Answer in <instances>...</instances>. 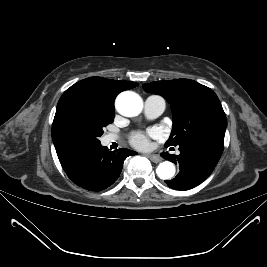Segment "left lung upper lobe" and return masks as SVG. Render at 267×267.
I'll list each match as a JSON object with an SVG mask.
<instances>
[{"label": "left lung upper lobe", "mask_w": 267, "mask_h": 267, "mask_svg": "<svg viewBox=\"0 0 267 267\" xmlns=\"http://www.w3.org/2000/svg\"><path fill=\"white\" fill-rule=\"evenodd\" d=\"M143 89L163 96L171 105L173 129L166 147L199 141L224 143L227 120L213 90L189 79L151 82L143 84Z\"/></svg>", "instance_id": "left-lung-upper-lobe-1"}]
</instances>
